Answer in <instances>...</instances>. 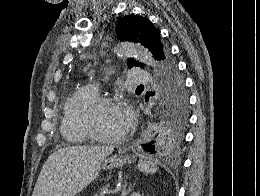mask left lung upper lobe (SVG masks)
I'll list each match as a JSON object with an SVG mask.
<instances>
[{"label":"left lung upper lobe","instance_id":"5c2ea615","mask_svg":"<svg viewBox=\"0 0 260 196\" xmlns=\"http://www.w3.org/2000/svg\"><path fill=\"white\" fill-rule=\"evenodd\" d=\"M116 32L120 41L141 43L159 61L164 78L161 114L158 124L147 131L146 138L155 146V152L179 150L188 121V98L168 47L161 41L160 33L152 22L141 16H124L118 21ZM128 65L130 68H143L142 64L132 58L128 60Z\"/></svg>","mask_w":260,"mask_h":196}]
</instances>
